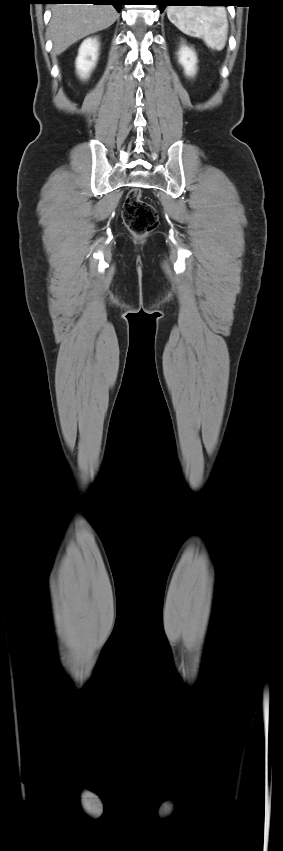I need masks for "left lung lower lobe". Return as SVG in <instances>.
<instances>
[{
	"mask_svg": "<svg viewBox=\"0 0 283 851\" xmlns=\"http://www.w3.org/2000/svg\"><path fill=\"white\" fill-rule=\"evenodd\" d=\"M160 6V12H163L166 6L169 5H223L226 6L228 0H156Z\"/></svg>",
	"mask_w": 283,
	"mask_h": 851,
	"instance_id": "0a47b994",
	"label": "left lung lower lobe"
}]
</instances>
